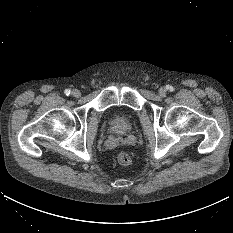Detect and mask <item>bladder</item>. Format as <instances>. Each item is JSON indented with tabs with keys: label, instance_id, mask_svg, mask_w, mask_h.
Here are the masks:
<instances>
[{
	"label": "bladder",
	"instance_id": "obj_1",
	"mask_svg": "<svg viewBox=\"0 0 233 233\" xmlns=\"http://www.w3.org/2000/svg\"><path fill=\"white\" fill-rule=\"evenodd\" d=\"M111 123L115 131L120 134L126 133L131 125L130 120L120 114H115Z\"/></svg>",
	"mask_w": 233,
	"mask_h": 233
}]
</instances>
